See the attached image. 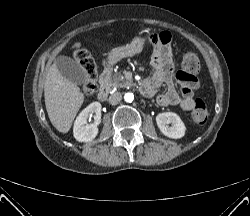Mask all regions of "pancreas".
<instances>
[{
  "label": "pancreas",
  "mask_w": 250,
  "mask_h": 216,
  "mask_svg": "<svg viewBox=\"0 0 250 216\" xmlns=\"http://www.w3.org/2000/svg\"><path fill=\"white\" fill-rule=\"evenodd\" d=\"M129 85H131V83L126 80L120 72L115 73L112 76H106L104 79V86L108 90L119 87H127Z\"/></svg>",
  "instance_id": "obj_1"
}]
</instances>
